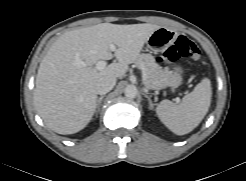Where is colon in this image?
I'll return each instance as SVG.
<instances>
[{
  "label": "colon",
  "instance_id": "5ec220e1",
  "mask_svg": "<svg viewBox=\"0 0 246 181\" xmlns=\"http://www.w3.org/2000/svg\"><path fill=\"white\" fill-rule=\"evenodd\" d=\"M181 58L198 60L200 52L197 46L188 38L180 36L175 43L164 52L161 61L165 63H175Z\"/></svg>",
  "mask_w": 246,
  "mask_h": 181
}]
</instances>
